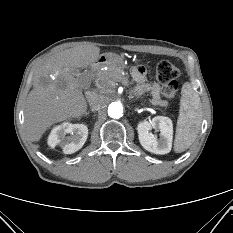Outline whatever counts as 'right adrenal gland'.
I'll list each match as a JSON object with an SVG mask.
<instances>
[{"mask_svg": "<svg viewBox=\"0 0 233 233\" xmlns=\"http://www.w3.org/2000/svg\"><path fill=\"white\" fill-rule=\"evenodd\" d=\"M89 113H90V112H86L85 114H86V115H89Z\"/></svg>", "mask_w": 233, "mask_h": 233, "instance_id": "1", "label": "right adrenal gland"}]
</instances>
